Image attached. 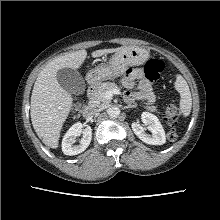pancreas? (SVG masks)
<instances>
[{
	"mask_svg": "<svg viewBox=\"0 0 220 220\" xmlns=\"http://www.w3.org/2000/svg\"><path fill=\"white\" fill-rule=\"evenodd\" d=\"M112 89H117V85L112 82H104L101 83L100 86L94 91V93L91 95L90 98V103L93 107H98V108H103L108 106L110 103V100H107L104 98L105 92L112 90ZM146 109H148L151 112H157V107L152 105H146Z\"/></svg>",
	"mask_w": 220,
	"mask_h": 220,
	"instance_id": "obj_1",
	"label": "pancreas"
}]
</instances>
